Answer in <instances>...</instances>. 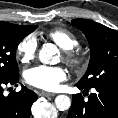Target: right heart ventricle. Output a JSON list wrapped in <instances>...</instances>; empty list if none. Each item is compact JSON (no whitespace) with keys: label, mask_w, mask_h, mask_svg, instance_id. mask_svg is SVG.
Instances as JSON below:
<instances>
[{"label":"right heart ventricle","mask_w":118,"mask_h":118,"mask_svg":"<svg viewBox=\"0 0 118 118\" xmlns=\"http://www.w3.org/2000/svg\"><path fill=\"white\" fill-rule=\"evenodd\" d=\"M46 36L62 50H72L78 45L76 35L65 28L51 29L47 32Z\"/></svg>","instance_id":"right-heart-ventricle-1"}]
</instances>
